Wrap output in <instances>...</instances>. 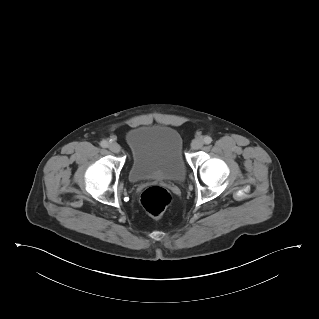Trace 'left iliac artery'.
Instances as JSON below:
<instances>
[{"mask_svg": "<svg viewBox=\"0 0 319 319\" xmlns=\"http://www.w3.org/2000/svg\"><path fill=\"white\" fill-rule=\"evenodd\" d=\"M204 142H205V144H210L212 142V138L210 136H206L204 138Z\"/></svg>", "mask_w": 319, "mask_h": 319, "instance_id": "44dca946", "label": "left iliac artery"}]
</instances>
